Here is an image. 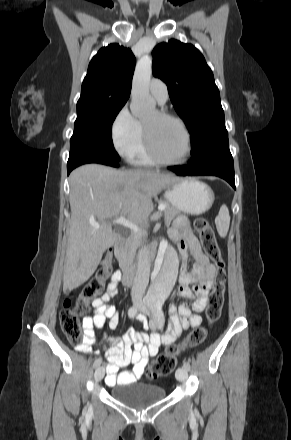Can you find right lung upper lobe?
<instances>
[{
    "label": "right lung upper lobe",
    "instance_id": "1",
    "mask_svg": "<svg viewBox=\"0 0 291 440\" xmlns=\"http://www.w3.org/2000/svg\"><path fill=\"white\" fill-rule=\"evenodd\" d=\"M135 57L129 48L113 43L92 58L83 80L77 104L86 102H125L131 92Z\"/></svg>",
    "mask_w": 291,
    "mask_h": 440
}]
</instances>
